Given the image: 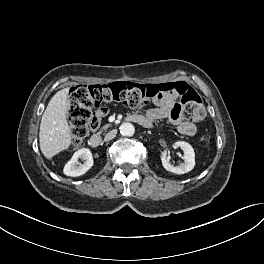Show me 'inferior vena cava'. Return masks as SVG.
Instances as JSON below:
<instances>
[{
    "label": "inferior vena cava",
    "mask_w": 264,
    "mask_h": 264,
    "mask_svg": "<svg viewBox=\"0 0 264 264\" xmlns=\"http://www.w3.org/2000/svg\"><path fill=\"white\" fill-rule=\"evenodd\" d=\"M117 134V130H112L110 132H108L105 137H104V141H110L112 140Z\"/></svg>",
    "instance_id": "inferior-vena-cava-1"
}]
</instances>
